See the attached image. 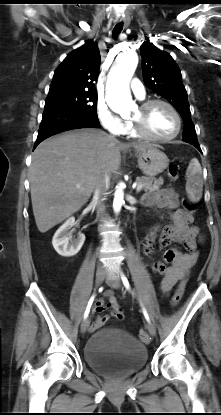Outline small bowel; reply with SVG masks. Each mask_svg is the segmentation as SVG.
Masks as SVG:
<instances>
[{"label":"small bowel","instance_id":"1","mask_svg":"<svg viewBox=\"0 0 221 415\" xmlns=\"http://www.w3.org/2000/svg\"><path fill=\"white\" fill-rule=\"evenodd\" d=\"M144 204L159 211L169 213L172 224L165 226L158 239L159 248L164 252V260L152 262L151 269L163 274L159 288L168 293L178 280L183 279L196 262L198 233L195 228H189L193 217L185 207H179V197L171 189H162L144 196ZM158 228L152 229L144 244V253H152ZM173 243L183 245L186 252L171 248ZM94 311L99 315L91 324V329H97L106 324L111 318L123 319L122 310L112 291L104 294V299L96 302Z\"/></svg>","mask_w":221,"mask_h":415}]
</instances>
